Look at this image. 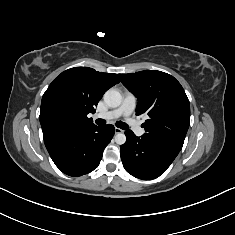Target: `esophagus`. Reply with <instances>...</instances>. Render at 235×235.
Masks as SVG:
<instances>
[{
	"mask_svg": "<svg viewBox=\"0 0 235 235\" xmlns=\"http://www.w3.org/2000/svg\"><path fill=\"white\" fill-rule=\"evenodd\" d=\"M123 130L118 128V127H115V133L118 134V133H122Z\"/></svg>",
	"mask_w": 235,
	"mask_h": 235,
	"instance_id": "34e87169",
	"label": "esophagus"
}]
</instances>
